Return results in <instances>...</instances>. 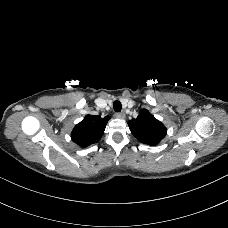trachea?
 Instances as JSON below:
<instances>
[{
  "label": "trachea",
  "instance_id": "obj_1",
  "mask_svg": "<svg viewBox=\"0 0 228 228\" xmlns=\"http://www.w3.org/2000/svg\"><path fill=\"white\" fill-rule=\"evenodd\" d=\"M113 108L116 112H120L122 108L120 101L118 100L114 101Z\"/></svg>",
  "mask_w": 228,
  "mask_h": 228
}]
</instances>
